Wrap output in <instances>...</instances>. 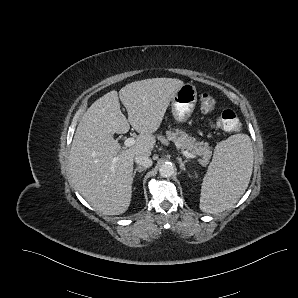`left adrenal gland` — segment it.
<instances>
[{"mask_svg":"<svg viewBox=\"0 0 298 298\" xmlns=\"http://www.w3.org/2000/svg\"><path fill=\"white\" fill-rule=\"evenodd\" d=\"M176 159L179 161L180 163V168L181 170H185V163L190 161V159H185L183 160L180 156H177Z\"/></svg>","mask_w":298,"mask_h":298,"instance_id":"1","label":"left adrenal gland"}]
</instances>
